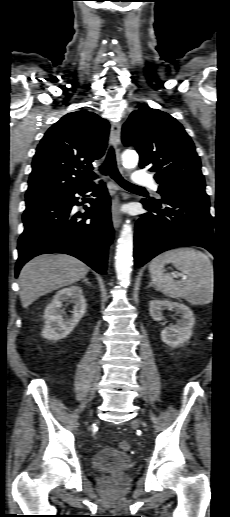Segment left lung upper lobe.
Returning <instances> with one entry per match:
<instances>
[{
    "instance_id": "1",
    "label": "left lung upper lobe",
    "mask_w": 230,
    "mask_h": 517,
    "mask_svg": "<svg viewBox=\"0 0 230 517\" xmlns=\"http://www.w3.org/2000/svg\"><path fill=\"white\" fill-rule=\"evenodd\" d=\"M122 142L134 146L139 165H150L159 184L160 203L176 194H206L200 158L182 125L169 114L148 106L133 111L122 128Z\"/></svg>"
}]
</instances>
